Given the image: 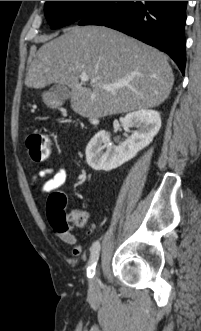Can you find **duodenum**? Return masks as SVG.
Returning <instances> with one entry per match:
<instances>
[{
  "label": "duodenum",
  "mask_w": 201,
  "mask_h": 331,
  "mask_svg": "<svg viewBox=\"0 0 201 331\" xmlns=\"http://www.w3.org/2000/svg\"><path fill=\"white\" fill-rule=\"evenodd\" d=\"M98 122H99V121H98L97 119H92V124L97 125Z\"/></svg>",
  "instance_id": "obj_1"
}]
</instances>
